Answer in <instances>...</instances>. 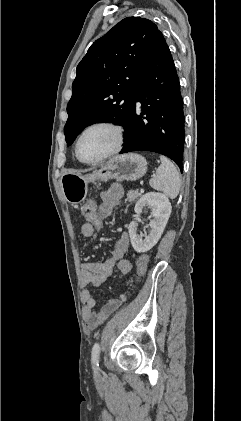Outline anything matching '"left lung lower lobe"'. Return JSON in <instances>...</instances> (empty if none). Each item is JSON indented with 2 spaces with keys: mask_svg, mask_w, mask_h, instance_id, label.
<instances>
[{
  "mask_svg": "<svg viewBox=\"0 0 241 421\" xmlns=\"http://www.w3.org/2000/svg\"><path fill=\"white\" fill-rule=\"evenodd\" d=\"M184 126L179 78L160 32L136 84L131 120L120 153H160L174 160L182 172Z\"/></svg>",
  "mask_w": 241,
  "mask_h": 421,
  "instance_id": "left-lung-lower-lobe-1",
  "label": "left lung lower lobe"
}]
</instances>
